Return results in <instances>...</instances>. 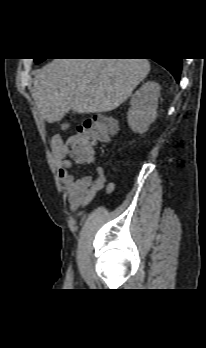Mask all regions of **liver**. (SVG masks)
<instances>
[{
	"label": "liver",
	"mask_w": 206,
	"mask_h": 348,
	"mask_svg": "<svg viewBox=\"0 0 206 348\" xmlns=\"http://www.w3.org/2000/svg\"><path fill=\"white\" fill-rule=\"evenodd\" d=\"M147 59H53L36 72L32 96L49 123L70 111L114 110L148 75Z\"/></svg>",
	"instance_id": "6515ba94"
}]
</instances>
